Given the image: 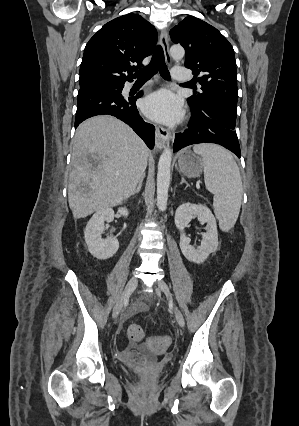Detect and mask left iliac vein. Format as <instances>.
Returning a JSON list of instances; mask_svg holds the SVG:
<instances>
[{"mask_svg": "<svg viewBox=\"0 0 299 426\" xmlns=\"http://www.w3.org/2000/svg\"><path fill=\"white\" fill-rule=\"evenodd\" d=\"M156 288L158 290H161L168 297L171 296L170 289H169V287H168V285L166 284L165 281H163V280L158 281L157 284H156ZM173 311H174L175 319H176L177 323L179 324V326L184 327L185 326V320H184L183 314L181 313V311L179 310V308L175 304L173 305Z\"/></svg>", "mask_w": 299, "mask_h": 426, "instance_id": "1", "label": "left iliac vein"}]
</instances>
